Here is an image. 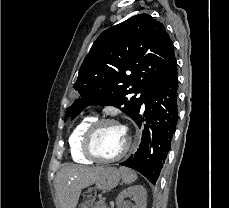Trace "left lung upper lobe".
I'll return each mask as SVG.
<instances>
[{"mask_svg":"<svg viewBox=\"0 0 229 208\" xmlns=\"http://www.w3.org/2000/svg\"><path fill=\"white\" fill-rule=\"evenodd\" d=\"M176 72L173 42L164 25L148 14L133 16L93 43L74 85L80 98L66 109L65 121L94 104L116 106L133 119L147 92Z\"/></svg>","mask_w":229,"mask_h":208,"instance_id":"5c2ea615","label":"left lung upper lobe"}]
</instances>
